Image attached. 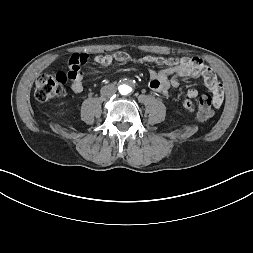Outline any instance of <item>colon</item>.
Segmentation results:
<instances>
[{
    "label": "colon",
    "mask_w": 253,
    "mask_h": 253,
    "mask_svg": "<svg viewBox=\"0 0 253 253\" xmlns=\"http://www.w3.org/2000/svg\"><path fill=\"white\" fill-rule=\"evenodd\" d=\"M83 61L76 64L69 62L67 71L47 72L40 75L34 87V97L36 100L44 102L50 100L63 92L65 84L69 83V88L80 94L85 90L86 85L82 82L81 66ZM213 115V98L208 94H202L197 100V117L201 121L209 120Z\"/></svg>",
    "instance_id": "5ec220e1"
}]
</instances>
